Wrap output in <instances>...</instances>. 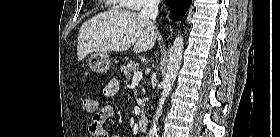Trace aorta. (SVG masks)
I'll use <instances>...</instances> for the list:
<instances>
[{"label":"aorta","instance_id":"1","mask_svg":"<svg viewBox=\"0 0 280 137\" xmlns=\"http://www.w3.org/2000/svg\"><path fill=\"white\" fill-rule=\"evenodd\" d=\"M183 49H184L183 36L178 35L174 39V41L169 49V60H168L167 71H166L165 77L162 81L163 90L161 93V97L159 99L156 113L153 117L152 125L148 132V137H157L158 120L162 114V109H163L164 103H165L167 97L169 96L171 89L174 85L175 79L178 75V71L180 69L181 61H182Z\"/></svg>","mask_w":280,"mask_h":137}]
</instances>
